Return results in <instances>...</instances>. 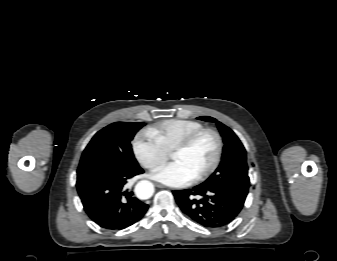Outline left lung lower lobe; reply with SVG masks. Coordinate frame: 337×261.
<instances>
[{
    "label": "left lung lower lobe",
    "mask_w": 337,
    "mask_h": 261,
    "mask_svg": "<svg viewBox=\"0 0 337 261\" xmlns=\"http://www.w3.org/2000/svg\"><path fill=\"white\" fill-rule=\"evenodd\" d=\"M175 200L182 210L195 223L206 228H220L228 225L243 207L238 199L217 188H202L173 191ZM198 195V198L193 196Z\"/></svg>",
    "instance_id": "obj_1"
}]
</instances>
